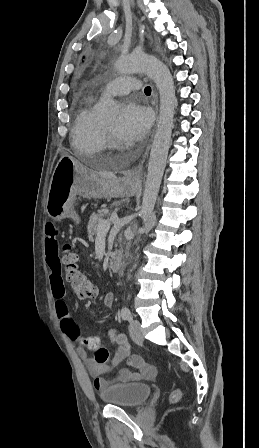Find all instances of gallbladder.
<instances>
[{
	"label": "gallbladder",
	"instance_id": "1",
	"mask_svg": "<svg viewBox=\"0 0 259 448\" xmlns=\"http://www.w3.org/2000/svg\"><path fill=\"white\" fill-rule=\"evenodd\" d=\"M100 168H101V170H105L104 164H100Z\"/></svg>",
	"mask_w": 259,
	"mask_h": 448
}]
</instances>
